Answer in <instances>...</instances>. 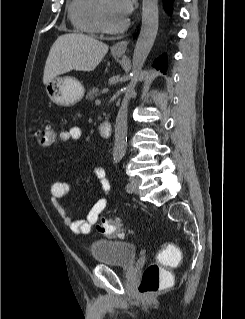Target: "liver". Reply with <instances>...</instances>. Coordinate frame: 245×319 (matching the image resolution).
<instances>
[{
    "instance_id": "6515ba94",
    "label": "liver",
    "mask_w": 245,
    "mask_h": 319,
    "mask_svg": "<svg viewBox=\"0 0 245 319\" xmlns=\"http://www.w3.org/2000/svg\"><path fill=\"white\" fill-rule=\"evenodd\" d=\"M108 52V45L81 34L66 33L53 43L46 60L43 83L58 75L76 71H92Z\"/></svg>"
}]
</instances>
